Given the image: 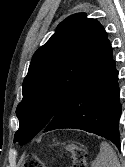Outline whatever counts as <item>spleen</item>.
Wrapping results in <instances>:
<instances>
[{"instance_id":"3e777b00","label":"spleen","mask_w":125,"mask_h":167,"mask_svg":"<svg viewBox=\"0 0 125 167\" xmlns=\"http://www.w3.org/2000/svg\"><path fill=\"white\" fill-rule=\"evenodd\" d=\"M91 167H121L113 148L105 141L100 144V152Z\"/></svg>"}]
</instances>
